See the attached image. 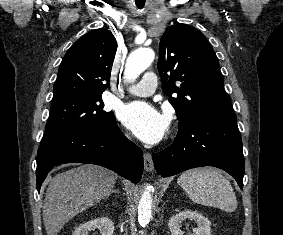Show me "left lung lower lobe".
Masks as SVG:
<instances>
[{
  "instance_id": "1",
  "label": "left lung lower lobe",
  "mask_w": 283,
  "mask_h": 235,
  "mask_svg": "<svg viewBox=\"0 0 283 235\" xmlns=\"http://www.w3.org/2000/svg\"><path fill=\"white\" fill-rule=\"evenodd\" d=\"M152 156L162 177L215 166L228 172L243 188L244 156L235 116L200 121L179 129L173 144Z\"/></svg>"
}]
</instances>
